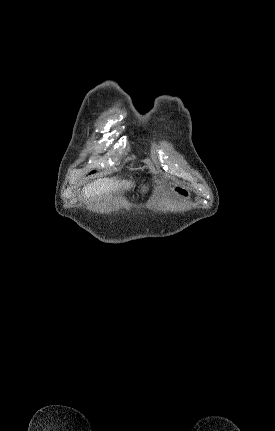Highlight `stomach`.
I'll use <instances>...</instances> for the list:
<instances>
[{"label": "stomach", "instance_id": "1", "mask_svg": "<svg viewBox=\"0 0 275 431\" xmlns=\"http://www.w3.org/2000/svg\"><path fill=\"white\" fill-rule=\"evenodd\" d=\"M170 188L173 192H175L177 195H179L181 197H189L190 196V192L182 186L170 185ZM145 190H146V188H144V191Z\"/></svg>", "mask_w": 275, "mask_h": 431}]
</instances>
